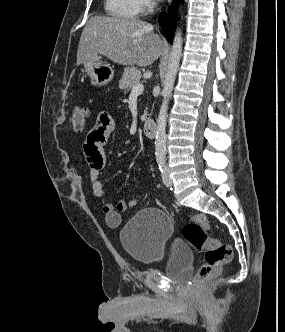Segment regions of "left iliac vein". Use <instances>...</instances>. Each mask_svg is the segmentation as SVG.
<instances>
[{
  "label": "left iliac vein",
  "mask_w": 285,
  "mask_h": 332,
  "mask_svg": "<svg viewBox=\"0 0 285 332\" xmlns=\"http://www.w3.org/2000/svg\"><path fill=\"white\" fill-rule=\"evenodd\" d=\"M162 179H163L165 186L171 187L173 185L172 179L170 177V174H169V171L167 168H165L162 173Z\"/></svg>",
  "instance_id": "1"
}]
</instances>
